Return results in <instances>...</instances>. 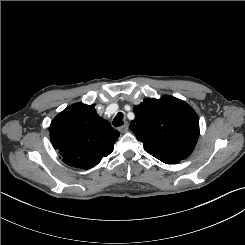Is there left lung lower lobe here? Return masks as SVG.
<instances>
[{"mask_svg":"<svg viewBox=\"0 0 245 245\" xmlns=\"http://www.w3.org/2000/svg\"><path fill=\"white\" fill-rule=\"evenodd\" d=\"M148 153L153 155L154 157H156L157 159L161 160L162 162H164L166 164H176L182 160L180 158L164 155L161 153H150V152H148Z\"/></svg>","mask_w":245,"mask_h":245,"instance_id":"left-lung-lower-lobe-1","label":"left lung lower lobe"}]
</instances>
